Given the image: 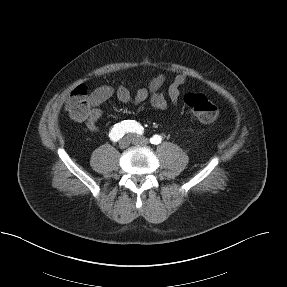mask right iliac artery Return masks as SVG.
<instances>
[{
  "label": "right iliac artery",
  "mask_w": 287,
  "mask_h": 287,
  "mask_svg": "<svg viewBox=\"0 0 287 287\" xmlns=\"http://www.w3.org/2000/svg\"><path fill=\"white\" fill-rule=\"evenodd\" d=\"M135 125H138V134L141 135L143 133V127L139 123L135 121L125 120L113 126L109 133L110 139L115 142L122 138L126 133L135 132Z\"/></svg>",
  "instance_id": "right-iliac-artery-1"
}]
</instances>
